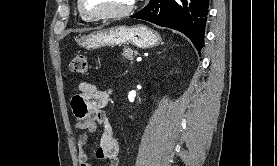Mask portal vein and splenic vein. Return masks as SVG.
<instances>
[{
  "mask_svg": "<svg viewBox=\"0 0 277 166\" xmlns=\"http://www.w3.org/2000/svg\"><path fill=\"white\" fill-rule=\"evenodd\" d=\"M141 60H142V58H141V57H138V58H137V61H141Z\"/></svg>",
  "mask_w": 277,
  "mask_h": 166,
  "instance_id": "18ae733b",
  "label": "portal vein and splenic vein"
}]
</instances>
